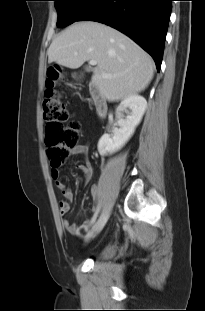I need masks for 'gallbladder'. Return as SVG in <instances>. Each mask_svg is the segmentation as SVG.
<instances>
[{"label":"gallbladder","instance_id":"obj_1","mask_svg":"<svg viewBox=\"0 0 205 311\" xmlns=\"http://www.w3.org/2000/svg\"><path fill=\"white\" fill-rule=\"evenodd\" d=\"M85 70H86V71H90V68H89V67H86Z\"/></svg>","mask_w":205,"mask_h":311}]
</instances>
